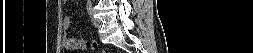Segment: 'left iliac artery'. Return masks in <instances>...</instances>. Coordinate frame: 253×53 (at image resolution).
Segmentation results:
<instances>
[{"label": "left iliac artery", "mask_w": 253, "mask_h": 53, "mask_svg": "<svg viewBox=\"0 0 253 53\" xmlns=\"http://www.w3.org/2000/svg\"><path fill=\"white\" fill-rule=\"evenodd\" d=\"M86 9H87L88 14L91 15L92 12H93V8H92V5H91V1H88V2H87V7H86Z\"/></svg>", "instance_id": "44dca946"}]
</instances>
